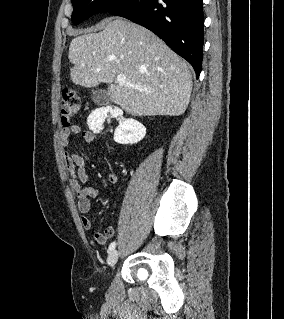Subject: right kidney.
I'll return each mask as SVG.
<instances>
[{
	"instance_id": "ca27d5eb",
	"label": "right kidney",
	"mask_w": 284,
	"mask_h": 319,
	"mask_svg": "<svg viewBox=\"0 0 284 319\" xmlns=\"http://www.w3.org/2000/svg\"><path fill=\"white\" fill-rule=\"evenodd\" d=\"M108 112H111L115 116H121L122 110L114 109L110 110L107 108H100L93 111L88 119V127L94 132L99 133L102 130V124L107 117ZM146 135V128L143 124L128 118L119 123L118 127L114 132V141L119 144H134L141 141Z\"/></svg>"
}]
</instances>
